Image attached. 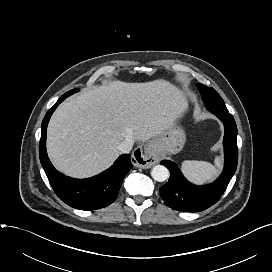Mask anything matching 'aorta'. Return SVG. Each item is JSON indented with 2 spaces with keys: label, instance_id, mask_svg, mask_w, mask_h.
<instances>
[{
  "label": "aorta",
  "instance_id": "aorta-1",
  "mask_svg": "<svg viewBox=\"0 0 272 272\" xmlns=\"http://www.w3.org/2000/svg\"><path fill=\"white\" fill-rule=\"evenodd\" d=\"M151 176L155 181L163 182L169 177V170L163 165H156L151 170Z\"/></svg>",
  "mask_w": 272,
  "mask_h": 272
}]
</instances>
